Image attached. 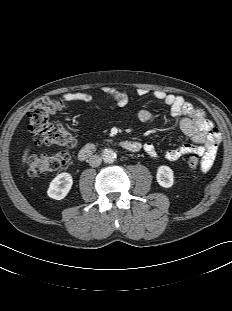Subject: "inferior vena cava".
Segmentation results:
<instances>
[{
  "label": "inferior vena cava",
  "mask_w": 232,
  "mask_h": 311,
  "mask_svg": "<svg viewBox=\"0 0 232 311\" xmlns=\"http://www.w3.org/2000/svg\"><path fill=\"white\" fill-rule=\"evenodd\" d=\"M102 162V158L99 155H92L89 158V165L91 167H98Z\"/></svg>",
  "instance_id": "602c4592"
}]
</instances>
